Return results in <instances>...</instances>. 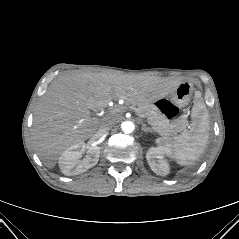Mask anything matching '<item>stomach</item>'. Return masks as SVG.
I'll list each match as a JSON object with an SVG mask.
<instances>
[{"label": "stomach", "mask_w": 239, "mask_h": 239, "mask_svg": "<svg viewBox=\"0 0 239 239\" xmlns=\"http://www.w3.org/2000/svg\"><path fill=\"white\" fill-rule=\"evenodd\" d=\"M194 87L189 81L180 82L166 98L154 101L162 109L163 117L169 122H178L185 115V105L190 101Z\"/></svg>", "instance_id": "1"}]
</instances>
